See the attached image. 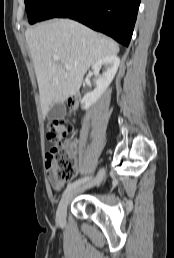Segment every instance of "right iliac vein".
Listing matches in <instances>:
<instances>
[{"label":"right iliac vein","instance_id":"63e3f726","mask_svg":"<svg viewBox=\"0 0 174 258\" xmlns=\"http://www.w3.org/2000/svg\"><path fill=\"white\" fill-rule=\"evenodd\" d=\"M104 177V169H101L98 175L90 182L84 184L81 187L75 188L69 191L59 202L57 212H56V221L58 223H63L65 221L67 207L70 201L72 200L73 196L81 190L91 188L99 183Z\"/></svg>","mask_w":174,"mask_h":258}]
</instances>
